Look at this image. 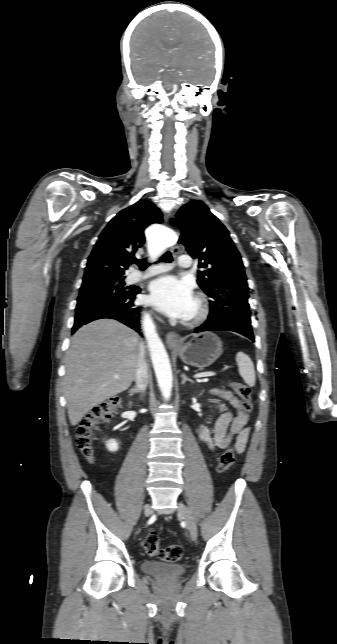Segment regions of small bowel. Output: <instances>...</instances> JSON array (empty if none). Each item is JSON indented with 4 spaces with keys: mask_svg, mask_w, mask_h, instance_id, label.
<instances>
[{
    "mask_svg": "<svg viewBox=\"0 0 337 644\" xmlns=\"http://www.w3.org/2000/svg\"><path fill=\"white\" fill-rule=\"evenodd\" d=\"M213 392L228 402L236 410V415L227 408L225 403L217 404L221 415L215 423L213 433L201 425L198 429L199 439L209 451L215 448L224 449L234 440L236 451L240 454L245 450L249 436V428L246 426L247 415L243 413L239 400L230 391L216 389Z\"/></svg>",
    "mask_w": 337,
    "mask_h": 644,
    "instance_id": "1",
    "label": "small bowel"
}]
</instances>
